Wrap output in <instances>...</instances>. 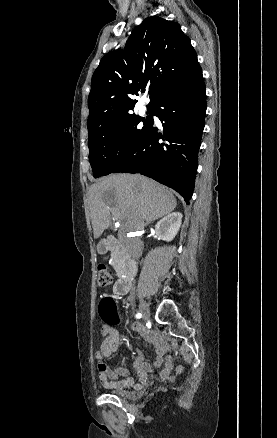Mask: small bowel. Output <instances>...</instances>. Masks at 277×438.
Returning <instances> with one entry per match:
<instances>
[{
  "mask_svg": "<svg viewBox=\"0 0 277 438\" xmlns=\"http://www.w3.org/2000/svg\"><path fill=\"white\" fill-rule=\"evenodd\" d=\"M132 329H135L136 333H138L139 337H147L146 341L149 344L157 343V355L160 358L165 357L166 352L163 349L168 347L166 342L159 341L157 337L158 332L156 331V327L153 325H138L134 326ZM102 335L104 336V340L100 346V350H97V356L95 357L96 365L99 369L98 374L102 384L105 387H117L120 389H141L147 383V379L149 373L151 371V366L145 363L141 358H137L134 365L136 369L140 373L139 383L135 384L134 381L127 376V370L123 367H118L117 364H112L111 369H108L107 364H105L103 357H108L115 353L120 347V333L119 330L113 327H105L102 330ZM159 341V342H158ZM135 350H138V347H135ZM158 367L163 365L161 360L156 362ZM166 367L171 368L174 365L173 360L168 359L165 362ZM113 371V372H112ZM122 377V379H118V377ZM160 376L164 379L169 378V373L167 371H162Z\"/></svg>",
  "mask_w": 277,
  "mask_h": 438,
  "instance_id": "1",
  "label": "small bowel"
}]
</instances>
